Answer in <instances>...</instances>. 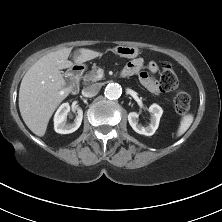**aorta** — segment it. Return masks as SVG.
I'll return each instance as SVG.
<instances>
[{"label": "aorta", "instance_id": "762f6f07", "mask_svg": "<svg viewBox=\"0 0 222 222\" xmlns=\"http://www.w3.org/2000/svg\"><path fill=\"white\" fill-rule=\"evenodd\" d=\"M122 94V88L119 84L111 83L105 88V96L109 99H118Z\"/></svg>", "mask_w": 222, "mask_h": 222}]
</instances>
